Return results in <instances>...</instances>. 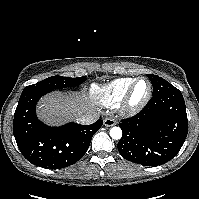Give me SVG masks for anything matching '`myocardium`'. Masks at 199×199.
Masks as SVG:
<instances>
[{"label": "myocardium", "mask_w": 199, "mask_h": 199, "mask_svg": "<svg viewBox=\"0 0 199 199\" xmlns=\"http://www.w3.org/2000/svg\"><path fill=\"white\" fill-rule=\"evenodd\" d=\"M140 80L146 81L148 83V92H147L146 96L141 101L133 103L132 95H133V92L135 90L137 83ZM151 96H152L151 81L148 78L143 77V76L138 77V78L134 79V81L130 85L128 91L126 92L123 100L121 101V109L125 114L134 115V114L138 113L139 111H141L146 106V104L149 102Z\"/></svg>", "instance_id": "myocardium-1"}]
</instances>
